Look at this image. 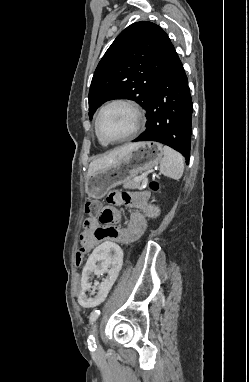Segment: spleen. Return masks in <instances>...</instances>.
Masks as SVG:
<instances>
[{"label":"spleen","instance_id":"spleen-1","mask_svg":"<svg viewBox=\"0 0 249 382\" xmlns=\"http://www.w3.org/2000/svg\"><path fill=\"white\" fill-rule=\"evenodd\" d=\"M163 154L164 157L160 162L161 173L169 178L179 180L184 171L183 156L168 146L163 147Z\"/></svg>","mask_w":249,"mask_h":382}]
</instances>
